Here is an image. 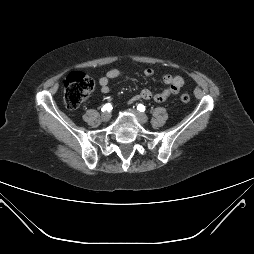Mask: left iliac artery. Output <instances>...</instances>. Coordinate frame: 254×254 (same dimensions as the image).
I'll use <instances>...</instances> for the list:
<instances>
[{
    "label": "left iliac artery",
    "instance_id": "1",
    "mask_svg": "<svg viewBox=\"0 0 254 254\" xmlns=\"http://www.w3.org/2000/svg\"><path fill=\"white\" fill-rule=\"evenodd\" d=\"M137 110L140 111V112H144L145 111V106L143 104H138Z\"/></svg>",
    "mask_w": 254,
    "mask_h": 254
}]
</instances>
